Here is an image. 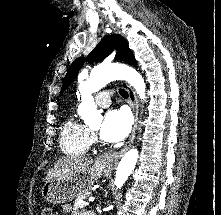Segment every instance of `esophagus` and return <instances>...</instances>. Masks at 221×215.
Instances as JSON below:
<instances>
[{
	"label": "esophagus",
	"instance_id": "esophagus-1",
	"mask_svg": "<svg viewBox=\"0 0 221 215\" xmlns=\"http://www.w3.org/2000/svg\"><path fill=\"white\" fill-rule=\"evenodd\" d=\"M122 87L127 91L129 95V104L132 108L134 115V124L128 141L125 146L118 152L107 153L99 157L98 161L107 168H114L117 166L119 160L124 155V153L131 147L138 127V102L136 95L132 88L124 81L121 82Z\"/></svg>",
	"mask_w": 221,
	"mask_h": 215
}]
</instances>
